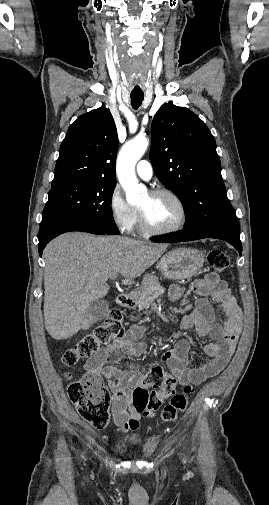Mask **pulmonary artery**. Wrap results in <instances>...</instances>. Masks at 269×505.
<instances>
[{
    "label": "pulmonary artery",
    "mask_w": 269,
    "mask_h": 505,
    "mask_svg": "<svg viewBox=\"0 0 269 505\" xmlns=\"http://www.w3.org/2000/svg\"><path fill=\"white\" fill-rule=\"evenodd\" d=\"M136 172L140 178L149 180L153 175V168L149 161L141 160L136 166Z\"/></svg>",
    "instance_id": "1"
}]
</instances>
